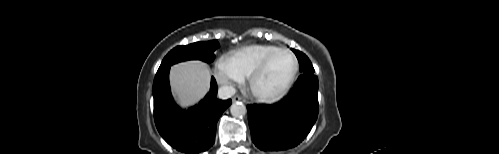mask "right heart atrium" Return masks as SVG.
Wrapping results in <instances>:
<instances>
[{
    "label": "right heart atrium",
    "instance_id": "obj_1",
    "mask_svg": "<svg viewBox=\"0 0 499 154\" xmlns=\"http://www.w3.org/2000/svg\"><path fill=\"white\" fill-rule=\"evenodd\" d=\"M214 75L217 82L227 89L243 82L244 77L232 64L228 56L220 57L214 66Z\"/></svg>",
    "mask_w": 499,
    "mask_h": 154
}]
</instances>
